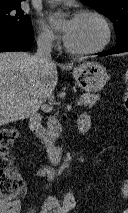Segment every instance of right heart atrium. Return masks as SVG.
I'll list each match as a JSON object with an SVG mask.
<instances>
[{
  "instance_id": "obj_1",
  "label": "right heart atrium",
  "mask_w": 128,
  "mask_h": 213,
  "mask_svg": "<svg viewBox=\"0 0 128 213\" xmlns=\"http://www.w3.org/2000/svg\"><path fill=\"white\" fill-rule=\"evenodd\" d=\"M38 43L44 47H52L57 43V37L49 30L41 28L38 32Z\"/></svg>"
}]
</instances>
